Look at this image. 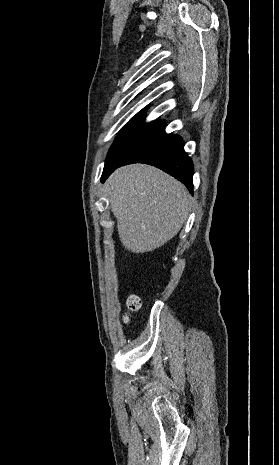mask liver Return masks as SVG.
Instances as JSON below:
<instances>
[{"label":"liver","instance_id":"6515ba94","mask_svg":"<svg viewBox=\"0 0 279 465\" xmlns=\"http://www.w3.org/2000/svg\"><path fill=\"white\" fill-rule=\"evenodd\" d=\"M105 193L121 243L133 253L151 252L173 238L186 222L192 200L181 182L141 163L115 170Z\"/></svg>","mask_w":279,"mask_h":465}]
</instances>
